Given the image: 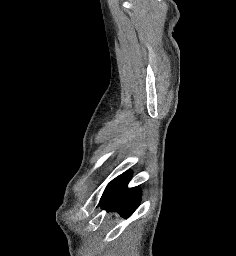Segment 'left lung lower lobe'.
<instances>
[{
    "mask_svg": "<svg viewBox=\"0 0 236 256\" xmlns=\"http://www.w3.org/2000/svg\"><path fill=\"white\" fill-rule=\"evenodd\" d=\"M131 172H125L112 180L106 187L99 205L110 212H117L122 217H129L138 207L141 192L137 187L126 191Z\"/></svg>",
    "mask_w": 236,
    "mask_h": 256,
    "instance_id": "left-lung-lower-lobe-1",
    "label": "left lung lower lobe"
}]
</instances>
